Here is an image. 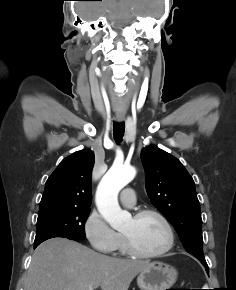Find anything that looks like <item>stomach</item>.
I'll list each match as a JSON object with an SVG mask.
<instances>
[{
  "label": "stomach",
  "mask_w": 236,
  "mask_h": 290,
  "mask_svg": "<svg viewBox=\"0 0 236 290\" xmlns=\"http://www.w3.org/2000/svg\"><path fill=\"white\" fill-rule=\"evenodd\" d=\"M176 279L177 271L174 267L152 262L138 274L137 284L141 290H166L171 289Z\"/></svg>",
  "instance_id": "0dacf381"
}]
</instances>
